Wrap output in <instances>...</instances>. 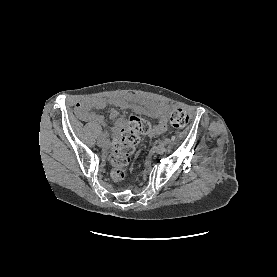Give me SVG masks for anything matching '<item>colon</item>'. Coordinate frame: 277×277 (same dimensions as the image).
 Wrapping results in <instances>:
<instances>
[{
	"label": "colon",
	"mask_w": 277,
	"mask_h": 277,
	"mask_svg": "<svg viewBox=\"0 0 277 277\" xmlns=\"http://www.w3.org/2000/svg\"><path fill=\"white\" fill-rule=\"evenodd\" d=\"M189 116L182 109H175L171 115L169 124L174 129H183L187 126ZM151 130V124L144 118L130 116L125 122L120 135L113 141L111 151V177L114 181H122L126 177V168L129 165L136 146L140 142V136Z\"/></svg>",
	"instance_id": "obj_1"
}]
</instances>
